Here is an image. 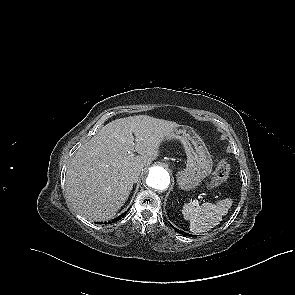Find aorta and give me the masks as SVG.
I'll return each instance as SVG.
<instances>
[{"mask_svg":"<svg viewBox=\"0 0 295 295\" xmlns=\"http://www.w3.org/2000/svg\"><path fill=\"white\" fill-rule=\"evenodd\" d=\"M145 181L147 187L151 190H164L169 186L170 174L168 170L162 166H152L148 169Z\"/></svg>","mask_w":295,"mask_h":295,"instance_id":"aorta-1","label":"aorta"}]
</instances>
